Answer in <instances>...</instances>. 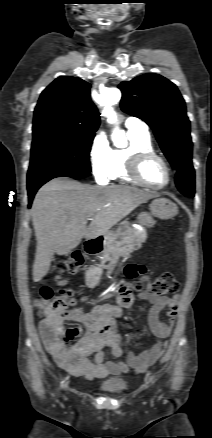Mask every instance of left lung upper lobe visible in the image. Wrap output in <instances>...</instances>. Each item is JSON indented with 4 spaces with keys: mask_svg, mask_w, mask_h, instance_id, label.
Instances as JSON below:
<instances>
[{
    "mask_svg": "<svg viewBox=\"0 0 212 438\" xmlns=\"http://www.w3.org/2000/svg\"><path fill=\"white\" fill-rule=\"evenodd\" d=\"M119 88L121 109L143 119L153 129L175 170L192 158L190 121L185 101L174 83L161 75L148 73L122 82Z\"/></svg>",
    "mask_w": 212,
    "mask_h": 438,
    "instance_id": "1",
    "label": "left lung upper lobe"
}]
</instances>
